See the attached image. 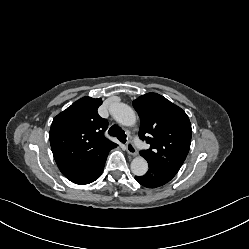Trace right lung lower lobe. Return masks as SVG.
Wrapping results in <instances>:
<instances>
[{
	"instance_id": "98d812e1",
	"label": "right lung lower lobe",
	"mask_w": 249,
	"mask_h": 249,
	"mask_svg": "<svg viewBox=\"0 0 249 249\" xmlns=\"http://www.w3.org/2000/svg\"><path fill=\"white\" fill-rule=\"evenodd\" d=\"M105 161H106V159L104 160L103 164L101 165L99 171H98L97 174L95 175V177H94V179L92 180V182L95 181L97 178H99V176L101 175V173H102V171H103V168H104V165H105Z\"/></svg>"
}]
</instances>
